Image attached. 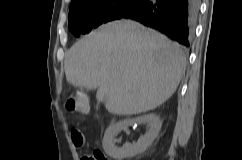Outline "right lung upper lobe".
Returning <instances> with one entry per match:
<instances>
[{
  "label": "right lung upper lobe",
  "instance_id": "cb5924a9",
  "mask_svg": "<svg viewBox=\"0 0 242 160\" xmlns=\"http://www.w3.org/2000/svg\"><path fill=\"white\" fill-rule=\"evenodd\" d=\"M81 1H83V0H72L71 6L77 4V3L81 2Z\"/></svg>",
  "mask_w": 242,
  "mask_h": 160
}]
</instances>
